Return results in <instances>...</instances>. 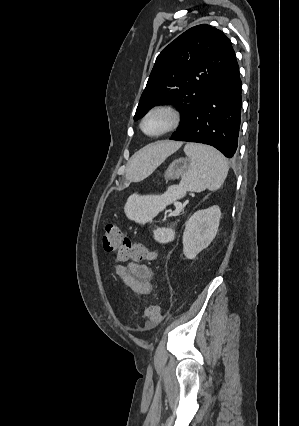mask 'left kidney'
I'll list each match as a JSON object with an SVG mask.
<instances>
[{
  "label": "left kidney",
  "mask_w": 299,
  "mask_h": 426,
  "mask_svg": "<svg viewBox=\"0 0 299 426\" xmlns=\"http://www.w3.org/2000/svg\"><path fill=\"white\" fill-rule=\"evenodd\" d=\"M220 217V208L214 205L198 210L188 219L182 239L186 258L194 259L209 246L217 234Z\"/></svg>",
  "instance_id": "1"
}]
</instances>
